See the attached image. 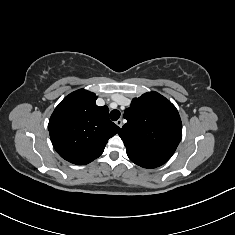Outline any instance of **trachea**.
I'll list each match as a JSON object with an SVG mask.
<instances>
[{
    "instance_id": "3493384b",
    "label": "trachea",
    "mask_w": 235,
    "mask_h": 235,
    "mask_svg": "<svg viewBox=\"0 0 235 235\" xmlns=\"http://www.w3.org/2000/svg\"><path fill=\"white\" fill-rule=\"evenodd\" d=\"M119 117H120V111H119V110H112V111L110 112V118H111V120L116 121V120L119 119Z\"/></svg>"
}]
</instances>
